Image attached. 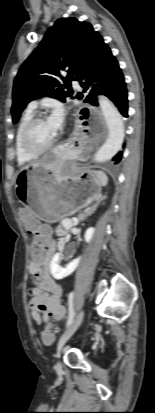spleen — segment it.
Returning a JSON list of instances; mask_svg holds the SVG:
<instances>
[{
	"label": "spleen",
	"mask_w": 155,
	"mask_h": 413,
	"mask_svg": "<svg viewBox=\"0 0 155 413\" xmlns=\"http://www.w3.org/2000/svg\"><path fill=\"white\" fill-rule=\"evenodd\" d=\"M95 173H96V175H97V178H98L101 186H106L107 183H108V177H107V175H106L104 172H102V171H96Z\"/></svg>",
	"instance_id": "3e777b00"
}]
</instances>
